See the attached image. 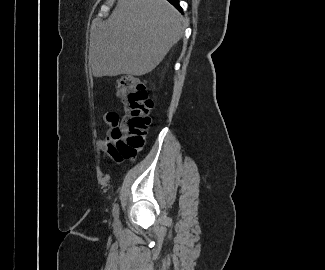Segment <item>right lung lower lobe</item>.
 <instances>
[{"label": "right lung lower lobe", "mask_w": 325, "mask_h": 270, "mask_svg": "<svg viewBox=\"0 0 325 270\" xmlns=\"http://www.w3.org/2000/svg\"><path fill=\"white\" fill-rule=\"evenodd\" d=\"M172 5H174L179 11H182L181 7L179 6L178 0H168Z\"/></svg>", "instance_id": "98d812e1"}]
</instances>
